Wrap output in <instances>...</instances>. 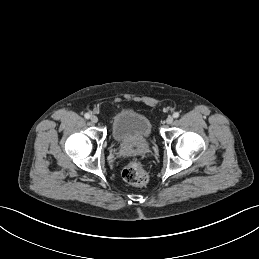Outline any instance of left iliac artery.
Wrapping results in <instances>:
<instances>
[{
	"mask_svg": "<svg viewBox=\"0 0 259 259\" xmlns=\"http://www.w3.org/2000/svg\"><path fill=\"white\" fill-rule=\"evenodd\" d=\"M173 117H174V118H178V117H179V113H178V112H175V113L173 114Z\"/></svg>",
	"mask_w": 259,
	"mask_h": 259,
	"instance_id": "obj_1",
	"label": "left iliac artery"
}]
</instances>
